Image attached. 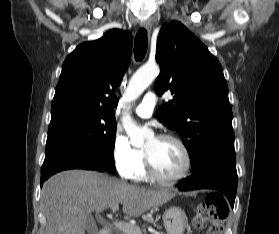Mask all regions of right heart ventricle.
<instances>
[{
  "label": "right heart ventricle",
  "mask_w": 279,
  "mask_h": 234,
  "mask_svg": "<svg viewBox=\"0 0 279 234\" xmlns=\"http://www.w3.org/2000/svg\"><path fill=\"white\" fill-rule=\"evenodd\" d=\"M131 178L136 181H145L148 178L145 166L144 152L142 151H140L139 161Z\"/></svg>",
  "instance_id": "right-heart-ventricle-1"
}]
</instances>
